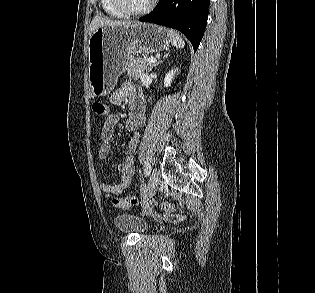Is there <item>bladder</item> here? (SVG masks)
<instances>
[{"label":"bladder","instance_id":"1","mask_svg":"<svg viewBox=\"0 0 315 293\" xmlns=\"http://www.w3.org/2000/svg\"><path fill=\"white\" fill-rule=\"evenodd\" d=\"M114 224L118 230L124 233L142 234L149 229V224L145 219L129 213L116 215L114 217Z\"/></svg>","mask_w":315,"mask_h":293}]
</instances>
